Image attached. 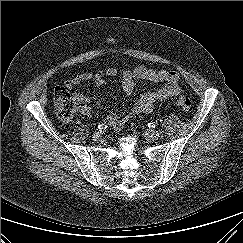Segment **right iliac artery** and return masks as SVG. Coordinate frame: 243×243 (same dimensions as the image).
Wrapping results in <instances>:
<instances>
[{
    "mask_svg": "<svg viewBox=\"0 0 243 243\" xmlns=\"http://www.w3.org/2000/svg\"><path fill=\"white\" fill-rule=\"evenodd\" d=\"M108 125H109L108 123L103 122V123L98 125V129L101 130V131L106 130L108 128Z\"/></svg>",
    "mask_w": 243,
    "mask_h": 243,
    "instance_id": "right-iliac-artery-1",
    "label": "right iliac artery"
}]
</instances>
